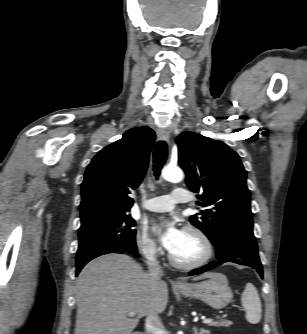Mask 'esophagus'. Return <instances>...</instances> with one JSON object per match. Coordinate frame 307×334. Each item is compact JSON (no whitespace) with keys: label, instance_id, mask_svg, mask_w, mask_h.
Listing matches in <instances>:
<instances>
[{"label":"esophagus","instance_id":"1","mask_svg":"<svg viewBox=\"0 0 307 334\" xmlns=\"http://www.w3.org/2000/svg\"><path fill=\"white\" fill-rule=\"evenodd\" d=\"M156 133H157V137L159 140L167 142V143L169 142L170 134L167 129L158 128ZM173 285L176 287H184L186 283L183 281H175L173 282Z\"/></svg>","mask_w":307,"mask_h":334}]
</instances>
